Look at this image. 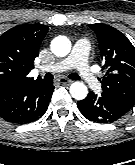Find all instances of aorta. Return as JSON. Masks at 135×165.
Here are the masks:
<instances>
[{
    "label": "aorta",
    "instance_id": "1",
    "mask_svg": "<svg viewBox=\"0 0 135 165\" xmlns=\"http://www.w3.org/2000/svg\"><path fill=\"white\" fill-rule=\"evenodd\" d=\"M52 52L58 57L66 56L71 50V42L66 37H57L51 44ZM70 94L76 100L86 98L88 89L82 82H75L70 86Z\"/></svg>",
    "mask_w": 135,
    "mask_h": 165
}]
</instances>
